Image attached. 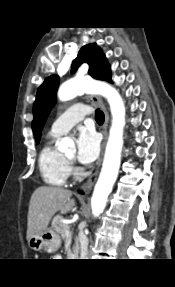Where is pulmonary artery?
<instances>
[{"label": "pulmonary artery", "mask_w": 175, "mask_h": 287, "mask_svg": "<svg viewBox=\"0 0 175 287\" xmlns=\"http://www.w3.org/2000/svg\"><path fill=\"white\" fill-rule=\"evenodd\" d=\"M88 114H90V109L87 106L74 104L53 122L50 133L56 136L65 134Z\"/></svg>", "instance_id": "obj_1"}]
</instances>
